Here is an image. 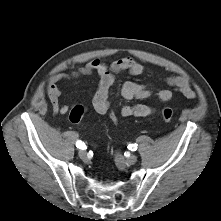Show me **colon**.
<instances>
[{
    "label": "colon",
    "mask_w": 221,
    "mask_h": 221,
    "mask_svg": "<svg viewBox=\"0 0 221 221\" xmlns=\"http://www.w3.org/2000/svg\"><path fill=\"white\" fill-rule=\"evenodd\" d=\"M107 111H109L108 117L109 121L112 124H118L120 121V116L116 112H114L115 106L112 103L107 104L106 106ZM87 111V108L83 105H77L72 108V110L69 113V119L70 121L74 123H78L82 120L85 113ZM161 117L164 121L170 122L172 121L174 117V112L171 108L165 107L161 110Z\"/></svg>",
    "instance_id": "5ec220e1"
}]
</instances>
